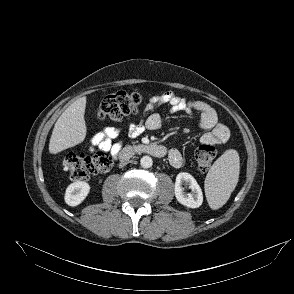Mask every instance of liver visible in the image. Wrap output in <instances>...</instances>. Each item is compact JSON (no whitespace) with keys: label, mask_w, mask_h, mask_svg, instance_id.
Returning a JSON list of instances; mask_svg holds the SVG:
<instances>
[{"label":"liver","mask_w":294,"mask_h":294,"mask_svg":"<svg viewBox=\"0 0 294 294\" xmlns=\"http://www.w3.org/2000/svg\"><path fill=\"white\" fill-rule=\"evenodd\" d=\"M85 108L86 97H81L60 115L50 138L49 152L51 154H57L84 141L87 133L84 119Z\"/></svg>","instance_id":"6515ba94"}]
</instances>
